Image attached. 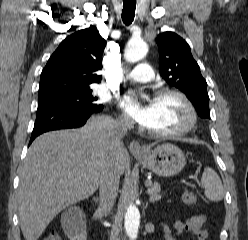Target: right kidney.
I'll return each mask as SVG.
<instances>
[{"label":"right kidney","instance_id":"obj_1","mask_svg":"<svg viewBox=\"0 0 248 240\" xmlns=\"http://www.w3.org/2000/svg\"><path fill=\"white\" fill-rule=\"evenodd\" d=\"M66 234L69 240H86L87 239L86 229L83 227L74 229V230H66Z\"/></svg>","mask_w":248,"mask_h":240}]
</instances>
